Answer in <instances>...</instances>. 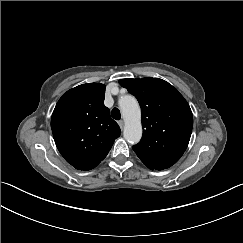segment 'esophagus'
Returning <instances> with one entry per match:
<instances>
[{"label": "esophagus", "instance_id": "1", "mask_svg": "<svg viewBox=\"0 0 243 243\" xmlns=\"http://www.w3.org/2000/svg\"><path fill=\"white\" fill-rule=\"evenodd\" d=\"M118 124H119L120 128L123 129V127H124V122H123L122 120H120V121L118 122Z\"/></svg>", "mask_w": 243, "mask_h": 243}]
</instances>
